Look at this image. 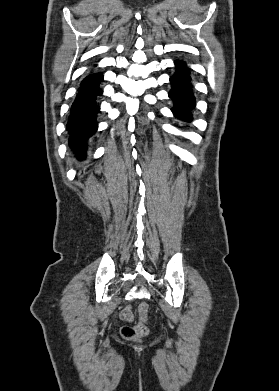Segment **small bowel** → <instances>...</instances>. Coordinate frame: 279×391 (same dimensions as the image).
I'll use <instances>...</instances> for the list:
<instances>
[{"mask_svg": "<svg viewBox=\"0 0 279 391\" xmlns=\"http://www.w3.org/2000/svg\"><path fill=\"white\" fill-rule=\"evenodd\" d=\"M120 317L124 321H132L133 320V314L130 307H126L122 310Z\"/></svg>", "mask_w": 279, "mask_h": 391, "instance_id": "obj_1", "label": "small bowel"}]
</instances>
